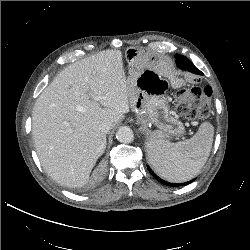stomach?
I'll return each instance as SVG.
<instances>
[{"instance_id":"obj_1","label":"stomach","mask_w":250,"mask_h":250,"mask_svg":"<svg viewBox=\"0 0 250 250\" xmlns=\"http://www.w3.org/2000/svg\"><path fill=\"white\" fill-rule=\"evenodd\" d=\"M125 57L129 64V100L137 123L143 126L154 123L161 130V136L183 134V124L169 110L165 80L147 67L150 56L143 48L130 47Z\"/></svg>"}]
</instances>
